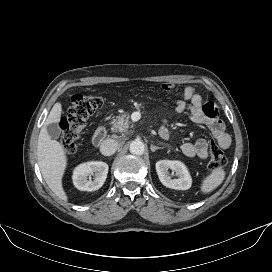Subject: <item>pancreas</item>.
I'll return each mask as SVG.
<instances>
[{"label":"pancreas","instance_id":"cf45deb5","mask_svg":"<svg viewBox=\"0 0 272 272\" xmlns=\"http://www.w3.org/2000/svg\"><path fill=\"white\" fill-rule=\"evenodd\" d=\"M112 130L114 132H127L130 126L129 115L127 113L121 114L115 121L112 122Z\"/></svg>","mask_w":272,"mask_h":272}]
</instances>
